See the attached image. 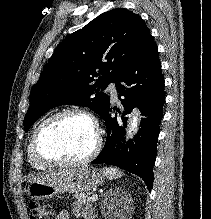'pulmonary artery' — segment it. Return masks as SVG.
Returning <instances> with one entry per match:
<instances>
[{
	"instance_id": "pulmonary-artery-1",
	"label": "pulmonary artery",
	"mask_w": 211,
	"mask_h": 219,
	"mask_svg": "<svg viewBox=\"0 0 211 219\" xmlns=\"http://www.w3.org/2000/svg\"><path fill=\"white\" fill-rule=\"evenodd\" d=\"M107 90L110 92L112 99L117 100L116 85L114 82L108 84Z\"/></svg>"
}]
</instances>
